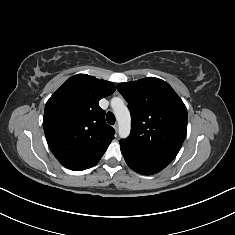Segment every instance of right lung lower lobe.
<instances>
[{
	"instance_id": "obj_1",
	"label": "right lung lower lobe",
	"mask_w": 235,
	"mask_h": 235,
	"mask_svg": "<svg viewBox=\"0 0 235 235\" xmlns=\"http://www.w3.org/2000/svg\"><path fill=\"white\" fill-rule=\"evenodd\" d=\"M98 162H99V161H98ZM98 162H97V163H98ZM97 163H95V164H93V165H91V166H89V167H86V168H81V169H71V170H75V171L85 170V169H88V168H90V167H92V166L96 165Z\"/></svg>"
}]
</instances>
